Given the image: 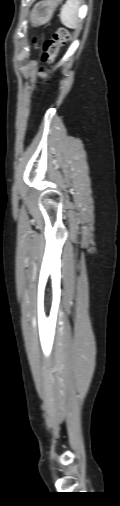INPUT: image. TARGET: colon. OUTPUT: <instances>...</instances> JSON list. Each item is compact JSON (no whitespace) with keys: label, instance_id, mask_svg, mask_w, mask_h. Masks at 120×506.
I'll return each instance as SVG.
<instances>
[{"label":"colon","instance_id":"5ec220e1","mask_svg":"<svg viewBox=\"0 0 120 506\" xmlns=\"http://www.w3.org/2000/svg\"><path fill=\"white\" fill-rule=\"evenodd\" d=\"M71 39V35L67 30L60 29L54 33L53 37L46 40L42 46V62L41 73L46 76L48 66L53 63L57 57L58 51L61 46L67 44Z\"/></svg>","mask_w":120,"mask_h":506}]
</instances>
